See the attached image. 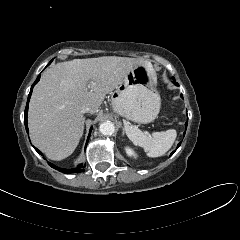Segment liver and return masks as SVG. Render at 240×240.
Returning <instances> with one entry per match:
<instances>
[{"label": "liver", "mask_w": 240, "mask_h": 240, "mask_svg": "<svg viewBox=\"0 0 240 240\" xmlns=\"http://www.w3.org/2000/svg\"><path fill=\"white\" fill-rule=\"evenodd\" d=\"M137 65L153 70L149 61L116 56L74 59L47 69L29 104L32 143L51 160L70 156L83 135L82 107L96 113L106 94Z\"/></svg>", "instance_id": "obj_1"}]
</instances>
